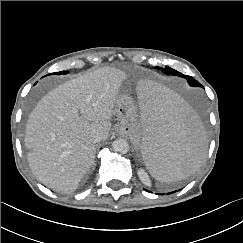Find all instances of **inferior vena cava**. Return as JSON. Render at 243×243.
<instances>
[{
	"mask_svg": "<svg viewBox=\"0 0 243 243\" xmlns=\"http://www.w3.org/2000/svg\"><path fill=\"white\" fill-rule=\"evenodd\" d=\"M92 140H93L95 143H98V142H100L101 140H103V136H102V134L97 133V134L93 135Z\"/></svg>",
	"mask_w": 243,
	"mask_h": 243,
	"instance_id": "602c4592",
	"label": "inferior vena cava"
}]
</instances>
